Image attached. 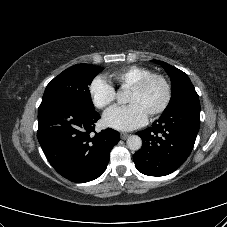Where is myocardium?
Segmentation results:
<instances>
[{
  "label": "myocardium",
  "instance_id": "obj_1",
  "mask_svg": "<svg viewBox=\"0 0 227 227\" xmlns=\"http://www.w3.org/2000/svg\"><path fill=\"white\" fill-rule=\"evenodd\" d=\"M153 80H159L162 82L164 89H165V97L161 105L156 108L155 110L151 111L149 113L150 117H156L160 114H162L170 105V102L172 100V85L169 81V79L161 73H151L138 82H136L132 87L131 90L135 91H143Z\"/></svg>",
  "mask_w": 227,
  "mask_h": 227
}]
</instances>
